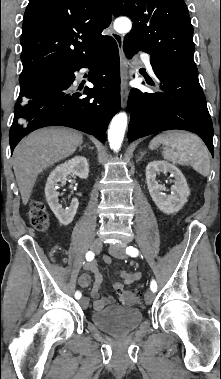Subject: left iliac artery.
Instances as JSON below:
<instances>
[{
    "instance_id": "1",
    "label": "left iliac artery",
    "mask_w": 221,
    "mask_h": 379,
    "mask_svg": "<svg viewBox=\"0 0 221 379\" xmlns=\"http://www.w3.org/2000/svg\"><path fill=\"white\" fill-rule=\"evenodd\" d=\"M126 253L132 257H137L139 255V251L137 248L133 247V246H129L126 248ZM150 289L153 291V292H156L157 291V283L155 280H152L151 283H150Z\"/></svg>"
}]
</instances>
